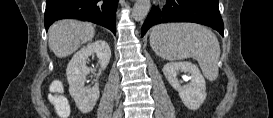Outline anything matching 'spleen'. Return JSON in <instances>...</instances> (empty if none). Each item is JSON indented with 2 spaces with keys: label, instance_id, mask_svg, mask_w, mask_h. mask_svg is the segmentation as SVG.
Masks as SVG:
<instances>
[{
  "label": "spleen",
  "instance_id": "obj_1",
  "mask_svg": "<svg viewBox=\"0 0 273 118\" xmlns=\"http://www.w3.org/2000/svg\"><path fill=\"white\" fill-rule=\"evenodd\" d=\"M150 45L163 59L193 58L208 80L214 81L218 77L219 42L216 35L203 26L189 23L155 26L151 30Z\"/></svg>",
  "mask_w": 273,
  "mask_h": 118
}]
</instances>
